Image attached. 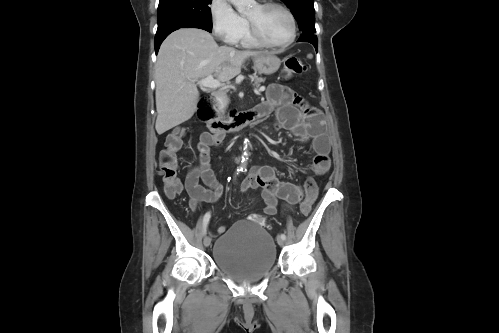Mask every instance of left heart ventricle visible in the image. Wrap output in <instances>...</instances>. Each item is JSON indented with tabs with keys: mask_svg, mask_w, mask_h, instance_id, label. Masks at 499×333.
<instances>
[{
	"mask_svg": "<svg viewBox=\"0 0 499 333\" xmlns=\"http://www.w3.org/2000/svg\"><path fill=\"white\" fill-rule=\"evenodd\" d=\"M245 17L256 23L263 36L272 43L286 41L291 33L288 16L279 8L261 9L254 5Z\"/></svg>",
	"mask_w": 499,
	"mask_h": 333,
	"instance_id": "left-heart-ventricle-1",
	"label": "left heart ventricle"
}]
</instances>
